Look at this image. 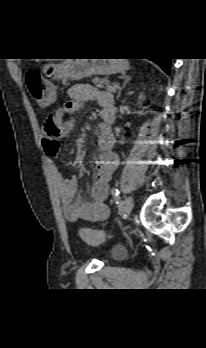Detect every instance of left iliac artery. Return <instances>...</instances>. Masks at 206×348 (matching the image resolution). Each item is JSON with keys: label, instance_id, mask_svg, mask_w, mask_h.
<instances>
[{"label": "left iliac artery", "instance_id": "44dca946", "mask_svg": "<svg viewBox=\"0 0 206 348\" xmlns=\"http://www.w3.org/2000/svg\"><path fill=\"white\" fill-rule=\"evenodd\" d=\"M120 191L118 189H112V195H119Z\"/></svg>", "mask_w": 206, "mask_h": 348}]
</instances>
